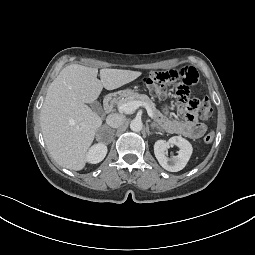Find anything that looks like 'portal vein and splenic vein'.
<instances>
[{"mask_svg": "<svg viewBox=\"0 0 255 255\" xmlns=\"http://www.w3.org/2000/svg\"><path fill=\"white\" fill-rule=\"evenodd\" d=\"M140 106H144L147 110L149 117H153L152 109L148 105H146L145 103L140 102V101H131V102H127V103L118 105V111L121 113L129 114V113L134 112Z\"/></svg>", "mask_w": 255, "mask_h": 255, "instance_id": "portal-vein-and-splenic-vein-1", "label": "portal vein and splenic vein"}]
</instances>
